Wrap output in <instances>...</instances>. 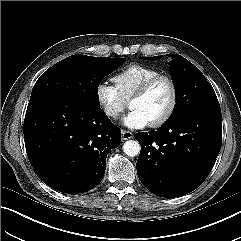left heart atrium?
I'll return each instance as SVG.
<instances>
[{"instance_id": "obj_1", "label": "left heart atrium", "mask_w": 241, "mask_h": 241, "mask_svg": "<svg viewBox=\"0 0 241 241\" xmlns=\"http://www.w3.org/2000/svg\"><path fill=\"white\" fill-rule=\"evenodd\" d=\"M123 123L132 129H140L148 125L147 119L138 111H131L123 118Z\"/></svg>"}]
</instances>
